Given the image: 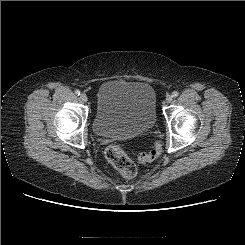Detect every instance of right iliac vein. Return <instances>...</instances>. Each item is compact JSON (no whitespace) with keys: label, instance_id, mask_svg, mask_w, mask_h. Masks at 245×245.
<instances>
[{"label":"right iliac vein","instance_id":"obj_1","mask_svg":"<svg viewBox=\"0 0 245 245\" xmlns=\"http://www.w3.org/2000/svg\"><path fill=\"white\" fill-rule=\"evenodd\" d=\"M80 98H81V100L84 101V102H86V101L88 100V97H87V95H86L85 93H82V94L80 95Z\"/></svg>","mask_w":245,"mask_h":245}]
</instances>
